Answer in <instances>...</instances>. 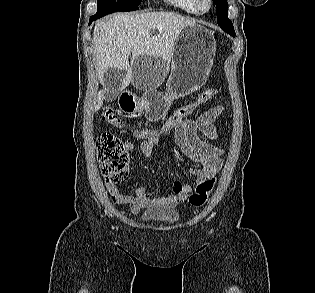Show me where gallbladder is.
I'll list each match as a JSON object with an SVG mask.
<instances>
[{
  "label": "gallbladder",
  "instance_id": "obj_1",
  "mask_svg": "<svg viewBox=\"0 0 315 293\" xmlns=\"http://www.w3.org/2000/svg\"><path fill=\"white\" fill-rule=\"evenodd\" d=\"M126 72L119 68H109L103 76V84L105 86V100L112 101L124 82Z\"/></svg>",
  "mask_w": 315,
  "mask_h": 293
}]
</instances>
